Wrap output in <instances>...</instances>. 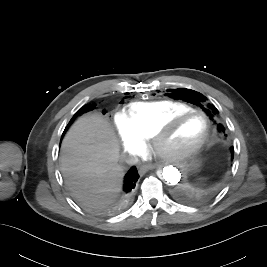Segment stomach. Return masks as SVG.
Instances as JSON below:
<instances>
[{"instance_id":"obj_1","label":"stomach","mask_w":267,"mask_h":267,"mask_svg":"<svg viewBox=\"0 0 267 267\" xmlns=\"http://www.w3.org/2000/svg\"><path fill=\"white\" fill-rule=\"evenodd\" d=\"M199 166H200V160L194 159L191 161L188 167L190 170H197Z\"/></svg>"}]
</instances>
